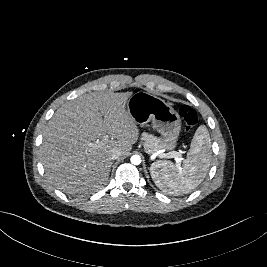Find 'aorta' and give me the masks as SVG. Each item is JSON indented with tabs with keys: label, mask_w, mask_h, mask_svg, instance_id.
Listing matches in <instances>:
<instances>
[{
	"label": "aorta",
	"mask_w": 267,
	"mask_h": 267,
	"mask_svg": "<svg viewBox=\"0 0 267 267\" xmlns=\"http://www.w3.org/2000/svg\"><path fill=\"white\" fill-rule=\"evenodd\" d=\"M130 161L134 165H139L141 163V157L139 155H133Z\"/></svg>",
	"instance_id": "obj_1"
}]
</instances>
